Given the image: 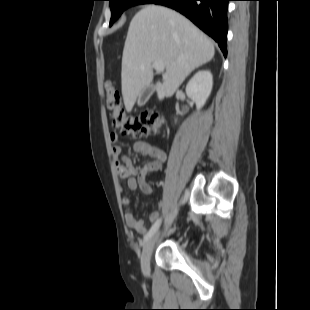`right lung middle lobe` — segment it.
<instances>
[{"mask_svg":"<svg viewBox=\"0 0 310 310\" xmlns=\"http://www.w3.org/2000/svg\"><path fill=\"white\" fill-rule=\"evenodd\" d=\"M111 8L110 26L120 17L122 12L134 5L151 3L153 0H109Z\"/></svg>","mask_w":310,"mask_h":310,"instance_id":"right-lung-middle-lobe-1","label":"right lung middle lobe"}]
</instances>
